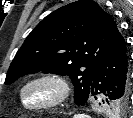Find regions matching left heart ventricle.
I'll list each match as a JSON object with an SVG mask.
<instances>
[{
	"mask_svg": "<svg viewBox=\"0 0 133 118\" xmlns=\"http://www.w3.org/2000/svg\"><path fill=\"white\" fill-rule=\"evenodd\" d=\"M54 91L47 85L34 84L30 86L25 92V101L28 105H35L45 102L52 98Z\"/></svg>",
	"mask_w": 133,
	"mask_h": 118,
	"instance_id": "1",
	"label": "left heart ventricle"
}]
</instances>
